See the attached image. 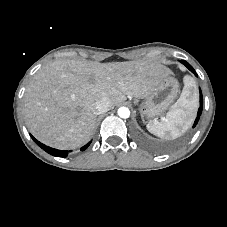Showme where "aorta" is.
I'll return each mask as SVG.
<instances>
[{
  "label": "aorta",
  "mask_w": 227,
  "mask_h": 227,
  "mask_svg": "<svg viewBox=\"0 0 227 227\" xmlns=\"http://www.w3.org/2000/svg\"><path fill=\"white\" fill-rule=\"evenodd\" d=\"M118 115L123 119L129 118L130 110L127 107H120L118 109Z\"/></svg>",
  "instance_id": "1"
}]
</instances>
